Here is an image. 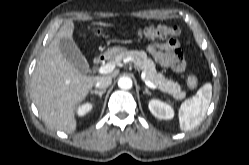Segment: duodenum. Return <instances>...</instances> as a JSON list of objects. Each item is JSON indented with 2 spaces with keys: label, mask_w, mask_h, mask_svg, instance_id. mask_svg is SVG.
I'll return each mask as SVG.
<instances>
[{
  "label": "duodenum",
  "mask_w": 249,
  "mask_h": 165,
  "mask_svg": "<svg viewBox=\"0 0 249 165\" xmlns=\"http://www.w3.org/2000/svg\"><path fill=\"white\" fill-rule=\"evenodd\" d=\"M106 60V55H99L98 57H96L93 61V66L94 67H99L103 62H105Z\"/></svg>",
  "instance_id": "obj_1"
}]
</instances>
